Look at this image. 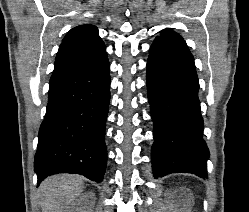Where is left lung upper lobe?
Returning <instances> with one entry per match:
<instances>
[{"label":"left lung upper lobe","instance_id":"5c2ea615","mask_svg":"<svg viewBox=\"0 0 249 212\" xmlns=\"http://www.w3.org/2000/svg\"><path fill=\"white\" fill-rule=\"evenodd\" d=\"M154 42H163L190 52L183 38L172 30H163L161 35L156 37ZM153 42V43H154Z\"/></svg>","mask_w":249,"mask_h":212}]
</instances>
